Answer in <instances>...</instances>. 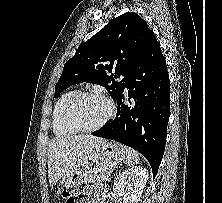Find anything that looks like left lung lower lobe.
I'll list each match as a JSON object with an SVG mask.
<instances>
[{
  "label": "left lung lower lobe",
  "instance_id": "1",
  "mask_svg": "<svg viewBox=\"0 0 222 203\" xmlns=\"http://www.w3.org/2000/svg\"><path fill=\"white\" fill-rule=\"evenodd\" d=\"M125 88L128 89V105L123 103ZM124 89L116 99V118L92 135L137 150L147 158L155 177L165 149L170 84L166 61L153 31L148 36L142 57L125 80Z\"/></svg>",
  "mask_w": 222,
  "mask_h": 203
}]
</instances>
